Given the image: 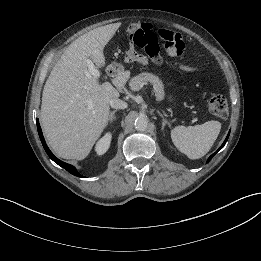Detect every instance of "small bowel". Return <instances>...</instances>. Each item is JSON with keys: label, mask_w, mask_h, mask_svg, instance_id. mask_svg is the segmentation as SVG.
Wrapping results in <instances>:
<instances>
[{"label": "small bowel", "mask_w": 261, "mask_h": 261, "mask_svg": "<svg viewBox=\"0 0 261 261\" xmlns=\"http://www.w3.org/2000/svg\"><path fill=\"white\" fill-rule=\"evenodd\" d=\"M170 32H172V31H170ZM169 55L174 56V55H172L170 53H169ZM125 59H126L127 62H132V63H139V64L147 63L146 57L144 55H142V54H139L135 50L133 44H131L129 46V48L127 49V51L125 53Z\"/></svg>", "instance_id": "small-bowel-1"}]
</instances>
